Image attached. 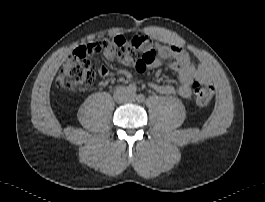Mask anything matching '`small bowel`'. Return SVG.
I'll return each mask as SVG.
<instances>
[{
    "label": "small bowel",
    "mask_w": 265,
    "mask_h": 202,
    "mask_svg": "<svg viewBox=\"0 0 265 202\" xmlns=\"http://www.w3.org/2000/svg\"><path fill=\"white\" fill-rule=\"evenodd\" d=\"M148 40L144 43L154 49V55L145 61V68L148 70L159 69L162 66L161 59H171L170 68L175 71L180 80L178 87L171 84H159L151 82L150 86L159 93L165 95H173L176 92L182 98H190L192 94L191 84L200 77L201 70L193 62L191 57L183 51L178 45H166L156 40L153 35L147 36ZM76 54H89L86 47H81L75 51ZM103 56L107 60L117 59L123 65H132L135 61L132 54L115 55L110 51H106ZM129 77H123L120 80L124 81Z\"/></svg>",
    "instance_id": "small-bowel-1"
}]
</instances>
